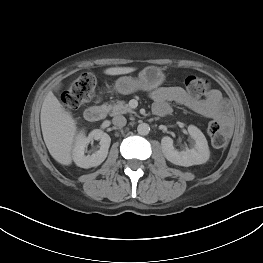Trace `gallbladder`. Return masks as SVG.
<instances>
[{
	"label": "gallbladder",
	"instance_id": "obj_1",
	"mask_svg": "<svg viewBox=\"0 0 263 263\" xmlns=\"http://www.w3.org/2000/svg\"><path fill=\"white\" fill-rule=\"evenodd\" d=\"M61 87H62L61 83H58V84H56V85L54 86V90H55L56 92H58V91L61 89Z\"/></svg>",
	"mask_w": 263,
	"mask_h": 263
}]
</instances>
